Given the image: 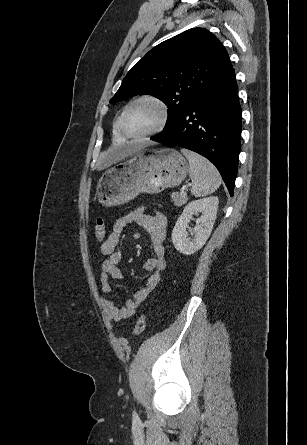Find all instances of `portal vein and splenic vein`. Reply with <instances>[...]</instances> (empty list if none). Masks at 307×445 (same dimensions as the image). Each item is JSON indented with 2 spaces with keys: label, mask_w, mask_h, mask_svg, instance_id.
<instances>
[{
  "label": "portal vein and splenic vein",
  "mask_w": 307,
  "mask_h": 445,
  "mask_svg": "<svg viewBox=\"0 0 307 445\" xmlns=\"http://www.w3.org/2000/svg\"><path fill=\"white\" fill-rule=\"evenodd\" d=\"M185 188H187L186 184H184V186H182V192H185Z\"/></svg>",
  "instance_id": "18ae733b"
}]
</instances>
